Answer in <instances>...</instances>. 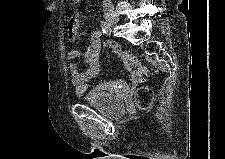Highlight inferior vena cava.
Masks as SVG:
<instances>
[{
    "instance_id": "1",
    "label": "inferior vena cava",
    "mask_w": 225,
    "mask_h": 159,
    "mask_svg": "<svg viewBox=\"0 0 225 159\" xmlns=\"http://www.w3.org/2000/svg\"><path fill=\"white\" fill-rule=\"evenodd\" d=\"M112 1L111 0H103V5L104 6H111Z\"/></svg>"
}]
</instances>
